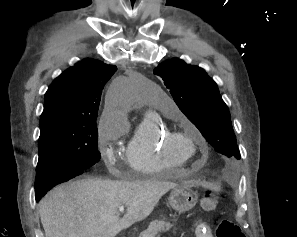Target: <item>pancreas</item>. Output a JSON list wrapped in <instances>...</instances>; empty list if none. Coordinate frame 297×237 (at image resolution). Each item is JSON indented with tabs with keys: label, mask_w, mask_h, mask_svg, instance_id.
I'll list each match as a JSON object with an SVG mask.
<instances>
[{
	"label": "pancreas",
	"mask_w": 297,
	"mask_h": 237,
	"mask_svg": "<svg viewBox=\"0 0 297 237\" xmlns=\"http://www.w3.org/2000/svg\"><path fill=\"white\" fill-rule=\"evenodd\" d=\"M172 224L163 220L152 221L147 230L141 232L139 237H156L160 232H167L172 228Z\"/></svg>",
	"instance_id": "pancreas-1"
}]
</instances>
